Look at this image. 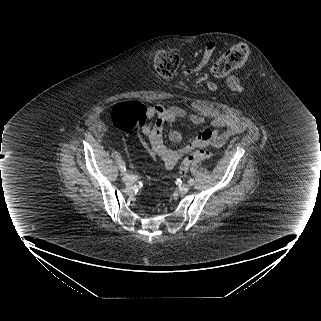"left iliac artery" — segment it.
<instances>
[{
	"label": "left iliac artery",
	"instance_id": "44dca946",
	"mask_svg": "<svg viewBox=\"0 0 321 321\" xmlns=\"http://www.w3.org/2000/svg\"><path fill=\"white\" fill-rule=\"evenodd\" d=\"M188 184H189L190 186H193V185H194V180H193V179H189Z\"/></svg>",
	"mask_w": 321,
	"mask_h": 321
}]
</instances>
